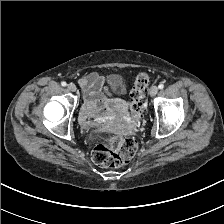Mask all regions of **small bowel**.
<instances>
[{
  "label": "small bowel",
  "instance_id": "small-bowel-1",
  "mask_svg": "<svg viewBox=\"0 0 224 224\" xmlns=\"http://www.w3.org/2000/svg\"><path fill=\"white\" fill-rule=\"evenodd\" d=\"M79 82L84 92L85 101L81 111V121L83 125L87 126L90 125L88 118L94 116L97 107L106 110L110 90L104 77L95 72L83 76Z\"/></svg>",
  "mask_w": 224,
  "mask_h": 224
}]
</instances>
